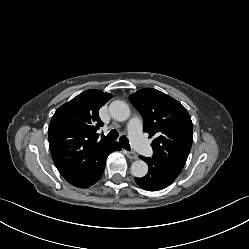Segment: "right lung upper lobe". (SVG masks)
Wrapping results in <instances>:
<instances>
[{
  "label": "right lung upper lobe",
  "instance_id": "obj_1",
  "mask_svg": "<svg viewBox=\"0 0 249 249\" xmlns=\"http://www.w3.org/2000/svg\"><path fill=\"white\" fill-rule=\"evenodd\" d=\"M100 90H87L57 109L49 129V146L60 174L72 185H80L99 156L114 142L97 134L103 125L98 110L111 98Z\"/></svg>",
  "mask_w": 249,
  "mask_h": 249
}]
</instances>
